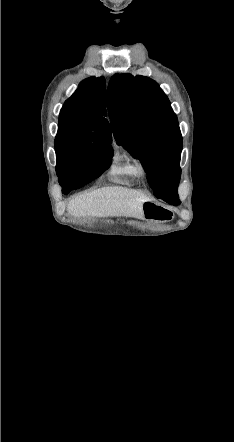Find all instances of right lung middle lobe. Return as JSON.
<instances>
[{
	"label": "right lung middle lobe",
	"instance_id": "right-lung-middle-lobe-1",
	"mask_svg": "<svg viewBox=\"0 0 234 442\" xmlns=\"http://www.w3.org/2000/svg\"><path fill=\"white\" fill-rule=\"evenodd\" d=\"M56 172L62 189L82 187L99 177L111 164V143L89 142L70 127L58 125L55 139Z\"/></svg>",
	"mask_w": 234,
	"mask_h": 442
}]
</instances>
